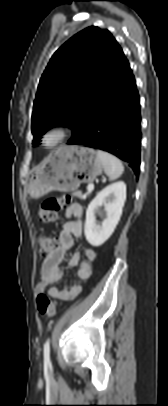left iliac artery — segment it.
<instances>
[{
  "instance_id": "obj_1",
  "label": "left iliac artery",
  "mask_w": 168,
  "mask_h": 406,
  "mask_svg": "<svg viewBox=\"0 0 168 406\" xmlns=\"http://www.w3.org/2000/svg\"><path fill=\"white\" fill-rule=\"evenodd\" d=\"M44 362L50 363V340L47 339L44 343Z\"/></svg>"
}]
</instances>
